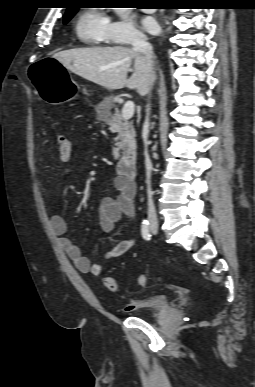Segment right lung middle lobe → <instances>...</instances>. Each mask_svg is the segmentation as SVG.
I'll return each mask as SVG.
<instances>
[{"label":"right lung middle lobe","instance_id":"right-lung-middle-lobe-1","mask_svg":"<svg viewBox=\"0 0 255 387\" xmlns=\"http://www.w3.org/2000/svg\"><path fill=\"white\" fill-rule=\"evenodd\" d=\"M77 9L76 8H71L68 11H66V14L64 16V24H66L76 13Z\"/></svg>","mask_w":255,"mask_h":387}]
</instances>
